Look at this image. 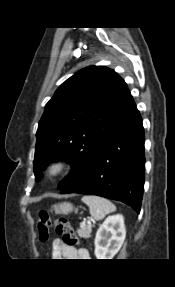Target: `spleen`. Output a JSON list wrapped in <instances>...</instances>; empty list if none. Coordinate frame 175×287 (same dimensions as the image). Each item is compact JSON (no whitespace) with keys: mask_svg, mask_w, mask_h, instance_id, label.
<instances>
[{"mask_svg":"<svg viewBox=\"0 0 175 287\" xmlns=\"http://www.w3.org/2000/svg\"><path fill=\"white\" fill-rule=\"evenodd\" d=\"M81 200L89 207L91 216L96 220H102L107 214L116 211L115 205L103 197L85 195Z\"/></svg>","mask_w":175,"mask_h":287,"instance_id":"1","label":"spleen"}]
</instances>
